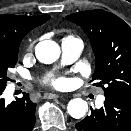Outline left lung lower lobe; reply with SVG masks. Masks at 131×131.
<instances>
[{
    "instance_id": "obj_1",
    "label": "left lung lower lobe",
    "mask_w": 131,
    "mask_h": 131,
    "mask_svg": "<svg viewBox=\"0 0 131 131\" xmlns=\"http://www.w3.org/2000/svg\"><path fill=\"white\" fill-rule=\"evenodd\" d=\"M105 98L104 107L76 123V131H131V101Z\"/></svg>"
}]
</instances>
